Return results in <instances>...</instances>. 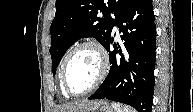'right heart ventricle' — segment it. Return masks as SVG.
<instances>
[{"mask_svg": "<svg viewBox=\"0 0 193 112\" xmlns=\"http://www.w3.org/2000/svg\"><path fill=\"white\" fill-rule=\"evenodd\" d=\"M64 59V58H63ZM63 59H62V62H61V67H62V63H63ZM59 84H60V90H61V93L64 97H69L66 92L64 91V88H63V85H62V81H61V70H60V77H59Z\"/></svg>", "mask_w": 193, "mask_h": 112, "instance_id": "1", "label": "right heart ventricle"}]
</instances>
